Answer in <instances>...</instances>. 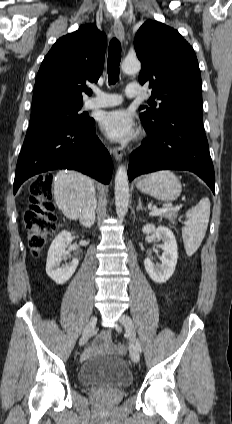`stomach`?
I'll use <instances>...</instances> for the list:
<instances>
[{
	"mask_svg": "<svg viewBox=\"0 0 232 424\" xmlns=\"http://www.w3.org/2000/svg\"><path fill=\"white\" fill-rule=\"evenodd\" d=\"M137 189L160 201L176 200L181 193V183L169 170L158 171L145 176L137 183Z\"/></svg>",
	"mask_w": 232,
	"mask_h": 424,
	"instance_id": "obj_1",
	"label": "stomach"
}]
</instances>
